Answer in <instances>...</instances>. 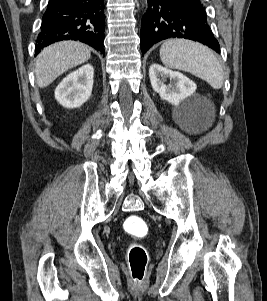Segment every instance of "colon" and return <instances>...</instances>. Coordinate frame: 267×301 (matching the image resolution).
<instances>
[{
  "instance_id": "5ec220e1",
  "label": "colon",
  "mask_w": 267,
  "mask_h": 301,
  "mask_svg": "<svg viewBox=\"0 0 267 301\" xmlns=\"http://www.w3.org/2000/svg\"><path fill=\"white\" fill-rule=\"evenodd\" d=\"M124 229L127 233L135 237H144L147 234L145 221L136 215H131L126 219ZM128 263L132 280L136 283L142 282L148 263L146 248L140 244H132L128 249Z\"/></svg>"
}]
</instances>
